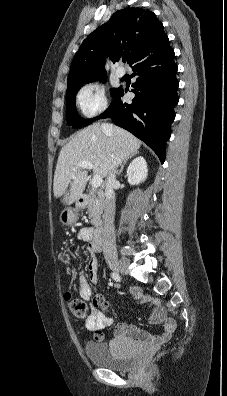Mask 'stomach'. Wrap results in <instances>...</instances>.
<instances>
[{"label":"stomach","instance_id":"1","mask_svg":"<svg viewBox=\"0 0 227 396\" xmlns=\"http://www.w3.org/2000/svg\"><path fill=\"white\" fill-rule=\"evenodd\" d=\"M82 207V204L77 200L75 208H66L60 214L61 224L68 226L72 225L77 220V212Z\"/></svg>","mask_w":227,"mask_h":396}]
</instances>
